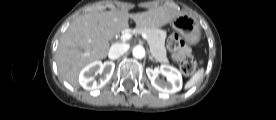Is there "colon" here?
Instances as JSON below:
<instances>
[{"label": "colon", "instance_id": "1", "mask_svg": "<svg viewBox=\"0 0 276 120\" xmlns=\"http://www.w3.org/2000/svg\"><path fill=\"white\" fill-rule=\"evenodd\" d=\"M167 46L172 52L173 57L178 61L180 70L185 75H192L196 70V61L187 51L182 39L176 33L169 36Z\"/></svg>", "mask_w": 276, "mask_h": 120}]
</instances>
